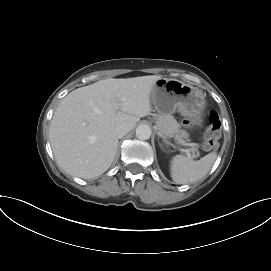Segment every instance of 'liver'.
<instances>
[{
    "instance_id": "liver-1",
    "label": "liver",
    "mask_w": 271,
    "mask_h": 271,
    "mask_svg": "<svg viewBox=\"0 0 271 271\" xmlns=\"http://www.w3.org/2000/svg\"><path fill=\"white\" fill-rule=\"evenodd\" d=\"M161 76L109 78L77 88L64 97L51 120L49 138L59 166L94 178L109 169L118 146L116 128L150 114V94Z\"/></svg>"
}]
</instances>
